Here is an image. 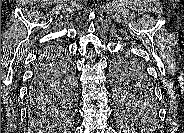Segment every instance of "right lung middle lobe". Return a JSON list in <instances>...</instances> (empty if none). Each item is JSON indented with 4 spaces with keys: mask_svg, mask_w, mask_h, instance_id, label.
I'll list each match as a JSON object with an SVG mask.
<instances>
[{
    "mask_svg": "<svg viewBox=\"0 0 184 133\" xmlns=\"http://www.w3.org/2000/svg\"><path fill=\"white\" fill-rule=\"evenodd\" d=\"M40 58L45 81L29 93L28 108L32 116L42 115L66 103L74 85L72 65L62 51L50 49Z\"/></svg>",
    "mask_w": 184,
    "mask_h": 133,
    "instance_id": "obj_1",
    "label": "right lung middle lobe"
}]
</instances>
